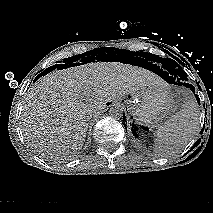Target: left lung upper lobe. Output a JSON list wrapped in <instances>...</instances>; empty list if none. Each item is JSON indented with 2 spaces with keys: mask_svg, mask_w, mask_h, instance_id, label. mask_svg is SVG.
Masks as SVG:
<instances>
[{
  "mask_svg": "<svg viewBox=\"0 0 213 213\" xmlns=\"http://www.w3.org/2000/svg\"><path fill=\"white\" fill-rule=\"evenodd\" d=\"M163 67L169 72L171 76L177 81H187V74L182 69V67L172 59L169 58H159Z\"/></svg>",
  "mask_w": 213,
  "mask_h": 213,
  "instance_id": "obj_1",
  "label": "left lung upper lobe"
}]
</instances>
